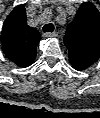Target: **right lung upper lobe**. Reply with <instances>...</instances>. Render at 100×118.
Returning <instances> with one entry per match:
<instances>
[{
	"label": "right lung upper lobe",
	"mask_w": 100,
	"mask_h": 118,
	"mask_svg": "<svg viewBox=\"0 0 100 118\" xmlns=\"http://www.w3.org/2000/svg\"><path fill=\"white\" fill-rule=\"evenodd\" d=\"M40 39L39 32L27 25L24 6L15 7L3 23L1 43L5 55L16 65L27 67L36 57Z\"/></svg>",
	"instance_id": "1"
}]
</instances>
